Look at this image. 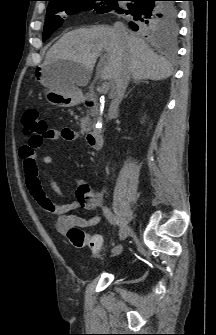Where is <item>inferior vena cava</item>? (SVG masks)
Here are the masks:
<instances>
[{
    "label": "inferior vena cava",
    "mask_w": 216,
    "mask_h": 335,
    "mask_svg": "<svg viewBox=\"0 0 216 335\" xmlns=\"http://www.w3.org/2000/svg\"><path fill=\"white\" fill-rule=\"evenodd\" d=\"M113 29L116 32L119 39H124L128 36L126 26L121 22H116L113 26ZM129 80H130V73L128 70L125 69L116 80L115 97L112 100L108 113L109 119H112L115 115H117L119 104L121 103L124 97Z\"/></svg>",
    "instance_id": "1"
}]
</instances>
